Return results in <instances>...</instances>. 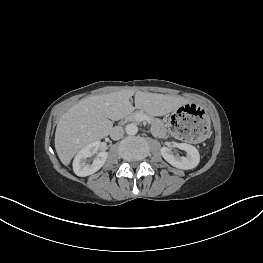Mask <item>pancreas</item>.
I'll return each instance as SVG.
<instances>
[{"instance_id":"1","label":"pancreas","mask_w":263,"mask_h":263,"mask_svg":"<svg viewBox=\"0 0 263 263\" xmlns=\"http://www.w3.org/2000/svg\"><path fill=\"white\" fill-rule=\"evenodd\" d=\"M137 114H144L146 116H148L147 114H145L143 111H135L132 113H129L125 119L126 121H137ZM151 120V131L153 133L154 136L159 137V138H165L166 137V129H165V125L164 122L158 118H154L152 116H148Z\"/></svg>"}]
</instances>
